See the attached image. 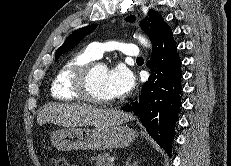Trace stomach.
Instances as JSON below:
<instances>
[{"instance_id":"1","label":"stomach","mask_w":231,"mask_h":166,"mask_svg":"<svg viewBox=\"0 0 231 166\" xmlns=\"http://www.w3.org/2000/svg\"><path fill=\"white\" fill-rule=\"evenodd\" d=\"M138 135L124 124L105 129L70 127L55 131L51 141L58 151L106 150L128 147Z\"/></svg>"}]
</instances>
